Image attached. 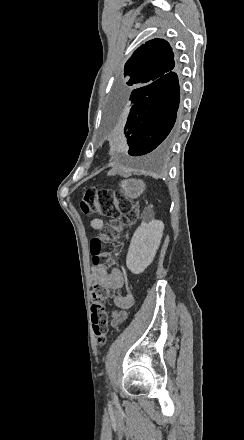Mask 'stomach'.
I'll return each instance as SVG.
<instances>
[{
  "instance_id": "0dacf381",
  "label": "stomach",
  "mask_w": 244,
  "mask_h": 440,
  "mask_svg": "<svg viewBox=\"0 0 244 440\" xmlns=\"http://www.w3.org/2000/svg\"><path fill=\"white\" fill-rule=\"evenodd\" d=\"M119 188L126 198H139L146 190L143 180H122Z\"/></svg>"
}]
</instances>
